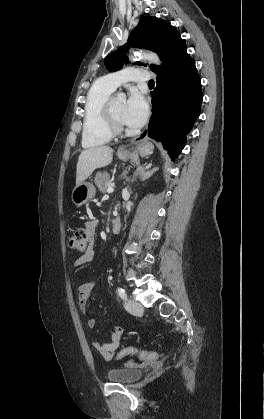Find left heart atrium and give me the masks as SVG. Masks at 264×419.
<instances>
[{
  "label": "left heart atrium",
  "instance_id": "39dd6f15",
  "mask_svg": "<svg viewBox=\"0 0 264 419\" xmlns=\"http://www.w3.org/2000/svg\"><path fill=\"white\" fill-rule=\"evenodd\" d=\"M149 105L145 96L137 89H132L125 103L123 121L131 127L142 126L148 116Z\"/></svg>",
  "mask_w": 264,
  "mask_h": 419
}]
</instances>
